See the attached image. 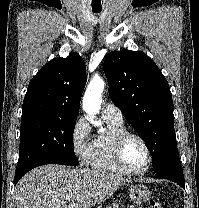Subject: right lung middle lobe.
<instances>
[{
    "label": "right lung middle lobe",
    "mask_w": 199,
    "mask_h": 208,
    "mask_svg": "<svg viewBox=\"0 0 199 208\" xmlns=\"http://www.w3.org/2000/svg\"><path fill=\"white\" fill-rule=\"evenodd\" d=\"M76 118L40 113L22 115L16 174L50 163L78 165L73 148Z\"/></svg>",
    "instance_id": "dd1d6c3e"
}]
</instances>
